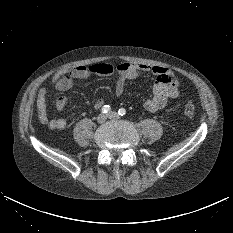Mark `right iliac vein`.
<instances>
[{"label":"right iliac vein","instance_id":"right-iliac-vein-1","mask_svg":"<svg viewBox=\"0 0 233 233\" xmlns=\"http://www.w3.org/2000/svg\"><path fill=\"white\" fill-rule=\"evenodd\" d=\"M107 119V116L105 114H100L98 117H97V121L98 123H104Z\"/></svg>","mask_w":233,"mask_h":233}]
</instances>
